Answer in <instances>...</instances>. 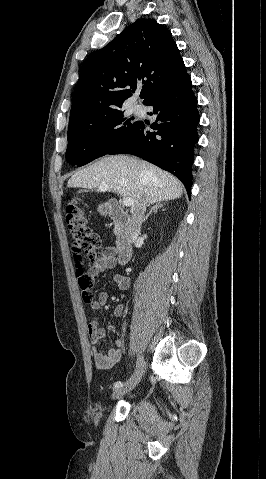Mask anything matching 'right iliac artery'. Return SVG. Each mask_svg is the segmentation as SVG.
Masks as SVG:
<instances>
[{
  "mask_svg": "<svg viewBox=\"0 0 266 479\" xmlns=\"http://www.w3.org/2000/svg\"><path fill=\"white\" fill-rule=\"evenodd\" d=\"M121 386H123V383L121 381H118V382L114 383L115 388H118V387H121Z\"/></svg>",
  "mask_w": 266,
  "mask_h": 479,
  "instance_id": "82829eb1",
  "label": "right iliac artery"
}]
</instances>
